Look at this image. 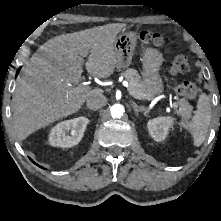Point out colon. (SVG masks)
Segmentation results:
<instances>
[{"instance_id": "obj_1", "label": "colon", "mask_w": 221, "mask_h": 221, "mask_svg": "<svg viewBox=\"0 0 221 221\" xmlns=\"http://www.w3.org/2000/svg\"><path fill=\"white\" fill-rule=\"evenodd\" d=\"M139 40L144 44H152L154 46H163L164 39L160 34L143 32L139 36ZM189 71V63L185 56L179 55L175 57L170 63V73L172 76L177 77ZM175 91L186 97L195 98L197 95L196 85L189 81H175Z\"/></svg>"}]
</instances>
